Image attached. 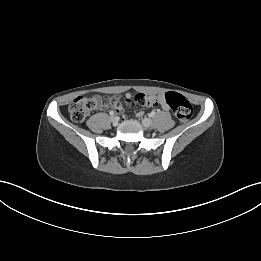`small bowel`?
Listing matches in <instances>:
<instances>
[{
    "instance_id": "1",
    "label": "small bowel",
    "mask_w": 261,
    "mask_h": 261,
    "mask_svg": "<svg viewBox=\"0 0 261 261\" xmlns=\"http://www.w3.org/2000/svg\"><path fill=\"white\" fill-rule=\"evenodd\" d=\"M121 100H126V104H131L135 108H150L152 106H157L159 105L164 111L169 110V105L166 103L164 99L163 94H153V95H148L146 93H137V94H122L121 95ZM95 101V107L97 109H107L109 107H112L116 110L117 114H122V107L117 100V98H111L108 100V102H105L101 99V97L96 96L93 98Z\"/></svg>"
}]
</instances>
